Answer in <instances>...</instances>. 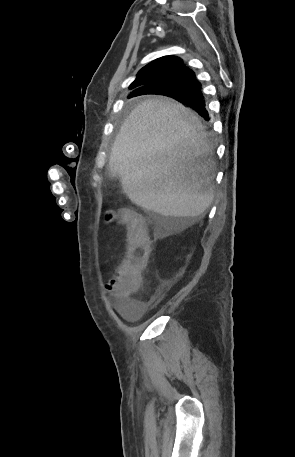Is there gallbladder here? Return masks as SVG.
Returning a JSON list of instances; mask_svg holds the SVG:
<instances>
[{"mask_svg":"<svg viewBox=\"0 0 295 457\" xmlns=\"http://www.w3.org/2000/svg\"><path fill=\"white\" fill-rule=\"evenodd\" d=\"M109 177H110L111 179H118V178H119V175L109 174Z\"/></svg>","mask_w":295,"mask_h":457,"instance_id":"obj_1","label":"gallbladder"}]
</instances>
